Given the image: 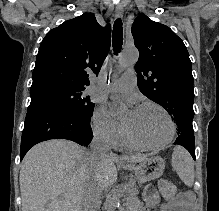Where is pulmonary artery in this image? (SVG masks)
I'll use <instances>...</instances> for the list:
<instances>
[{
	"label": "pulmonary artery",
	"instance_id": "1",
	"mask_svg": "<svg viewBox=\"0 0 219 211\" xmlns=\"http://www.w3.org/2000/svg\"><path fill=\"white\" fill-rule=\"evenodd\" d=\"M136 86V76L132 70L125 71L122 76L105 88V92L127 93Z\"/></svg>",
	"mask_w": 219,
	"mask_h": 211
}]
</instances>
